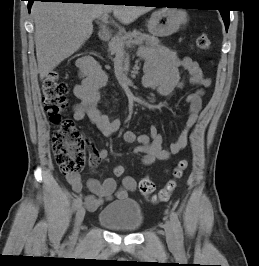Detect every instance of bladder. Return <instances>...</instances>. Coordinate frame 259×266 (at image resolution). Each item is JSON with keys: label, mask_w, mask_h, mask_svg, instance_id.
<instances>
[{"label": "bladder", "mask_w": 259, "mask_h": 266, "mask_svg": "<svg viewBox=\"0 0 259 266\" xmlns=\"http://www.w3.org/2000/svg\"><path fill=\"white\" fill-rule=\"evenodd\" d=\"M98 221L104 227L122 233L138 231L144 221L143 211L134 200L113 202L104 207Z\"/></svg>", "instance_id": "obj_1"}]
</instances>
